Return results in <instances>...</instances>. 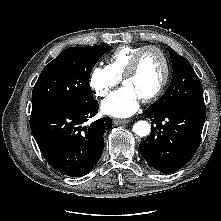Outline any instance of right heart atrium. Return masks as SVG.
Masks as SVG:
<instances>
[{
    "mask_svg": "<svg viewBox=\"0 0 221 221\" xmlns=\"http://www.w3.org/2000/svg\"><path fill=\"white\" fill-rule=\"evenodd\" d=\"M88 82L97 97H105L117 85L119 79L107 67H95L89 75Z\"/></svg>",
    "mask_w": 221,
    "mask_h": 221,
    "instance_id": "obj_1",
    "label": "right heart atrium"
}]
</instances>
